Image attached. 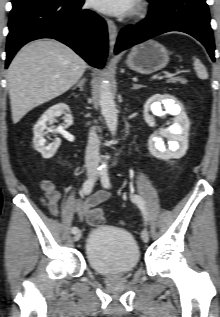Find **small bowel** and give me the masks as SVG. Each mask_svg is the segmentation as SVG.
<instances>
[{
  "label": "small bowel",
  "instance_id": "c3829d8e",
  "mask_svg": "<svg viewBox=\"0 0 220 317\" xmlns=\"http://www.w3.org/2000/svg\"><path fill=\"white\" fill-rule=\"evenodd\" d=\"M40 189L43 191L44 196L41 197L43 206L54 216L59 214L58 202L61 198L60 192L55 188V185L50 181H42L40 183ZM110 192L99 191L85 200L75 199L69 205L68 208L76 214L80 219H83L90 210L106 201L110 197Z\"/></svg>",
  "mask_w": 220,
  "mask_h": 317
}]
</instances>
